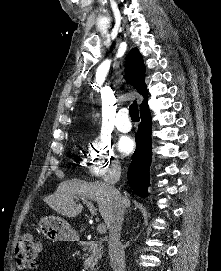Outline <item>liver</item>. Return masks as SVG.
<instances>
[{
  "instance_id": "liver-1",
  "label": "liver",
  "mask_w": 221,
  "mask_h": 271,
  "mask_svg": "<svg viewBox=\"0 0 221 271\" xmlns=\"http://www.w3.org/2000/svg\"><path fill=\"white\" fill-rule=\"evenodd\" d=\"M94 197L98 203V209L105 221L109 225L113 213L115 195L108 189L103 181H84V179H70L59 183L55 193L45 197L46 203L65 217H76L83 209L82 203H76L74 197ZM126 207H130V199H125Z\"/></svg>"
}]
</instances>
